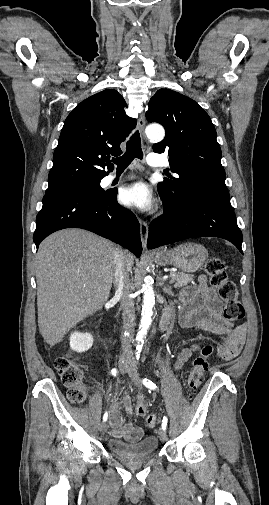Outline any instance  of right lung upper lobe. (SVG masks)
<instances>
[{
    "label": "right lung upper lobe",
    "instance_id": "cb5924a9",
    "mask_svg": "<svg viewBox=\"0 0 269 505\" xmlns=\"http://www.w3.org/2000/svg\"><path fill=\"white\" fill-rule=\"evenodd\" d=\"M126 106L116 90L106 89L73 109L54 151L47 190L102 179L113 170L108 159L122 153L120 144L137 123L126 115Z\"/></svg>",
    "mask_w": 269,
    "mask_h": 505
}]
</instances>
